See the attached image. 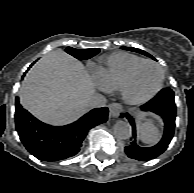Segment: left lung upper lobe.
<instances>
[{
	"label": "left lung upper lobe",
	"instance_id": "obj_1",
	"mask_svg": "<svg viewBox=\"0 0 194 193\" xmlns=\"http://www.w3.org/2000/svg\"><path fill=\"white\" fill-rule=\"evenodd\" d=\"M123 49H125V50H130V51H134V52H138V53H141V54H144V55H146V56H148V57L153 58L150 54H148V53H146L145 51L140 50V49H136V48H128V47H123ZM153 59H154V58H153Z\"/></svg>",
	"mask_w": 194,
	"mask_h": 193
}]
</instances>
